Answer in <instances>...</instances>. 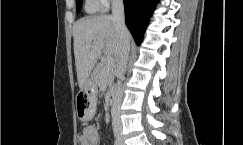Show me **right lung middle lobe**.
<instances>
[{
	"instance_id": "dd1d6c3e",
	"label": "right lung middle lobe",
	"mask_w": 243,
	"mask_h": 145,
	"mask_svg": "<svg viewBox=\"0 0 243 145\" xmlns=\"http://www.w3.org/2000/svg\"><path fill=\"white\" fill-rule=\"evenodd\" d=\"M82 2H83V0H77V1H76V9H77V11L80 10L81 5H82Z\"/></svg>"
}]
</instances>
